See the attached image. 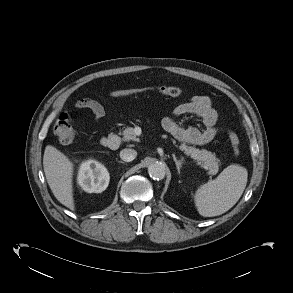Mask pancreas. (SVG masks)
<instances>
[{"label":"pancreas","instance_id":"1","mask_svg":"<svg viewBox=\"0 0 293 293\" xmlns=\"http://www.w3.org/2000/svg\"><path fill=\"white\" fill-rule=\"evenodd\" d=\"M124 141H137L135 130L132 127H127L122 133ZM180 150L184 152L187 156H190L192 159L196 160L203 168L208 170V174L216 175L219 170L220 160L216 158L215 154L205 149H198L192 146H188L182 143L179 146Z\"/></svg>","mask_w":293,"mask_h":293}]
</instances>
